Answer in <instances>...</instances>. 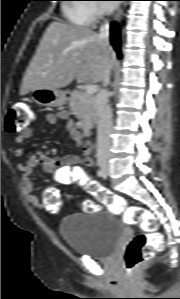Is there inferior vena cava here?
Masks as SVG:
<instances>
[{
  "mask_svg": "<svg viewBox=\"0 0 180 299\" xmlns=\"http://www.w3.org/2000/svg\"><path fill=\"white\" fill-rule=\"evenodd\" d=\"M99 37L109 43V24L106 21L99 30ZM111 65L104 69L102 82L106 87L110 82ZM95 111L98 116L97 157L105 158L109 155L110 135L112 131V112L108 105V91L100 89L95 98Z\"/></svg>",
  "mask_w": 180,
  "mask_h": 299,
  "instance_id": "inferior-vena-cava-1",
  "label": "inferior vena cava"
}]
</instances>
